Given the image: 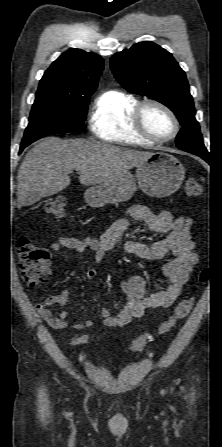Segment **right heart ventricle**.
Listing matches in <instances>:
<instances>
[{
	"label": "right heart ventricle",
	"mask_w": 222,
	"mask_h": 447,
	"mask_svg": "<svg viewBox=\"0 0 222 447\" xmlns=\"http://www.w3.org/2000/svg\"><path fill=\"white\" fill-rule=\"evenodd\" d=\"M139 100L120 90L103 92L95 101L90 118V129L95 137L105 142L133 145L151 144L134 127L132 114Z\"/></svg>",
	"instance_id": "right-heart-ventricle-1"
}]
</instances>
